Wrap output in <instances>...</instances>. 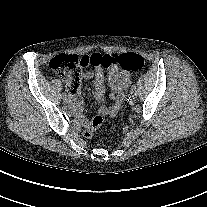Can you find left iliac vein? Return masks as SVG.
Here are the masks:
<instances>
[{"instance_id":"left-iliac-vein-1","label":"left iliac vein","mask_w":207,"mask_h":207,"mask_svg":"<svg viewBox=\"0 0 207 207\" xmlns=\"http://www.w3.org/2000/svg\"><path fill=\"white\" fill-rule=\"evenodd\" d=\"M136 97H137V92H136V90H135L134 93H131V98H132V99H135Z\"/></svg>"}]
</instances>
